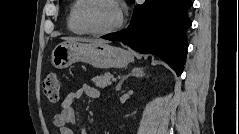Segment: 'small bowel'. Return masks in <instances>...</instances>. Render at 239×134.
<instances>
[{"instance_id":"1","label":"small bowel","mask_w":239,"mask_h":134,"mask_svg":"<svg viewBox=\"0 0 239 134\" xmlns=\"http://www.w3.org/2000/svg\"><path fill=\"white\" fill-rule=\"evenodd\" d=\"M85 94L91 99H98L100 92L90 85H83L81 88L69 92L61 103L60 111L54 115L53 123L59 129L60 134H74L70 125L76 123V113L73 104ZM81 134H86L82 129Z\"/></svg>"}]
</instances>
